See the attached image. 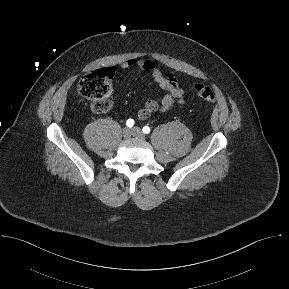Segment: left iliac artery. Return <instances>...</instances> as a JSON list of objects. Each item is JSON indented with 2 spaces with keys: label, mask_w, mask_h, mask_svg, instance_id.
Segmentation results:
<instances>
[{
  "label": "left iliac artery",
  "mask_w": 289,
  "mask_h": 289,
  "mask_svg": "<svg viewBox=\"0 0 289 289\" xmlns=\"http://www.w3.org/2000/svg\"><path fill=\"white\" fill-rule=\"evenodd\" d=\"M142 131H143V133L148 134V133H150V128L148 126H144Z\"/></svg>",
  "instance_id": "44dca946"
}]
</instances>
